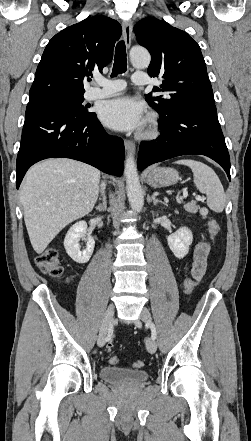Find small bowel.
<instances>
[{"instance_id":"obj_1","label":"small bowel","mask_w":251,"mask_h":441,"mask_svg":"<svg viewBox=\"0 0 251 441\" xmlns=\"http://www.w3.org/2000/svg\"><path fill=\"white\" fill-rule=\"evenodd\" d=\"M209 252V242L202 241L195 246L191 273L196 281H200L206 271Z\"/></svg>"}]
</instances>
